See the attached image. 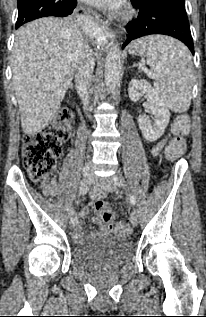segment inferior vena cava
Returning a JSON list of instances; mask_svg holds the SVG:
<instances>
[{"mask_svg":"<svg viewBox=\"0 0 206 317\" xmlns=\"http://www.w3.org/2000/svg\"><path fill=\"white\" fill-rule=\"evenodd\" d=\"M76 60V88L84 105V110L88 109L89 88L92 81V73L95 66L93 53L86 41L82 39L79 42L75 53Z\"/></svg>","mask_w":206,"mask_h":317,"instance_id":"602c4592","label":"inferior vena cava"}]
</instances>
